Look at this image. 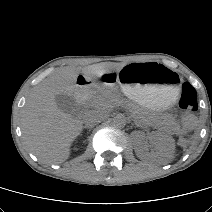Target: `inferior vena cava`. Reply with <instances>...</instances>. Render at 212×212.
Here are the masks:
<instances>
[{
	"instance_id": "inferior-vena-cava-1",
	"label": "inferior vena cava",
	"mask_w": 212,
	"mask_h": 212,
	"mask_svg": "<svg viewBox=\"0 0 212 212\" xmlns=\"http://www.w3.org/2000/svg\"><path fill=\"white\" fill-rule=\"evenodd\" d=\"M103 120V115L101 112L96 110H91L84 115L83 123L86 127H93Z\"/></svg>"
}]
</instances>
